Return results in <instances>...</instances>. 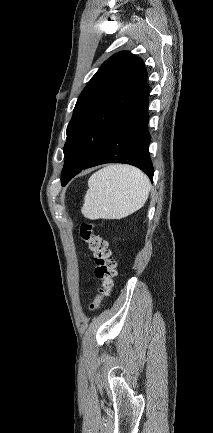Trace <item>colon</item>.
Returning <instances> with one entry per match:
<instances>
[{
    "instance_id": "colon-1",
    "label": "colon",
    "mask_w": 213,
    "mask_h": 433,
    "mask_svg": "<svg viewBox=\"0 0 213 433\" xmlns=\"http://www.w3.org/2000/svg\"><path fill=\"white\" fill-rule=\"evenodd\" d=\"M94 227V224L88 221L82 222L79 226L80 238L93 253L94 274L99 281L96 296L89 304L91 312L96 311L102 301L110 295L116 276V262L112 257L109 244L103 237L95 233Z\"/></svg>"
}]
</instances>
